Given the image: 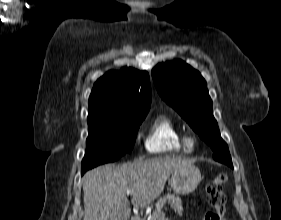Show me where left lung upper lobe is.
Returning a JSON list of instances; mask_svg holds the SVG:
<instances>
[{"instance_id": "5c2ea615", "label": "left lung upper lobe", "mask_w": 281, "mask_h": 220, "mask_svg": "<svg viewBox=\"0 0 281 220\" xmlns=\"http://www.w3.org/2000/svg\"><path fill=\"white\" fill-rule=\"evenodd\" d=\"M160 96L212 148L216 161L233 167L227 144L213 117L212 100L201 74L182 60L158 64L152 70Z\"/></svg>"}]
</instances>
